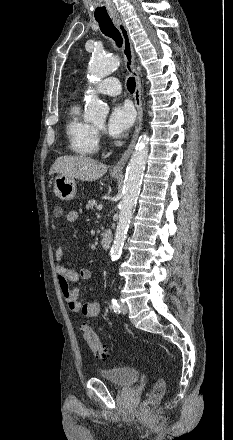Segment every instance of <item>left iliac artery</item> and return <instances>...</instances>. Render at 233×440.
Returning a JSON list of instances; mask_svg holds the SVG:
<instances>
[{"mask_svg":"<svg viewBox=\"0 0 233 440\" xmlns=\"http://www.w3.org/2000/svg\"><path fill=\"white\" fill-rule=\"evenodd\" d=\"M112 309H113L114 312L120 313V306L117 303V300L114 299V298L112 299Z\"/></svg>","mask_w":233,"mask_h":440,"instance_id":"44dca946","label":"left iliac artery"}]
</instances>
